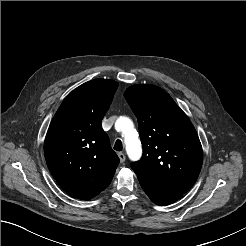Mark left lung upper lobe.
I'll list each match as a JSON object with an SVG mask.
<instances>
[{"label": "left lung upper lobe", "mask_w": 246, "mask_h": 246, "mask_svg": "<svg viewBox=\"0 0 246 246\" xmlns=\"http://www.w3.org/2000/svg\"><path fill=\"white\" fill-rule=\"evenodd\" d=\"M124 96L137 117L142 158L131 164L138 179L186 193L201 170L199 137L186 114L161 88L134 85Z\"/></svg>", "instance_id": "left-lung-upper-lobe-1"}]
</instances>
